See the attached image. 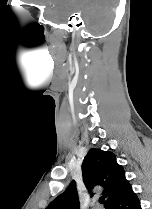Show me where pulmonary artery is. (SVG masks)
<instances>
[{"instance_id":"pulmonary-artery-1","label":"pulmonary artery","mask_w":152,"mask_h":209,"mask_svg":"<svg viewBox=\"0 0 152 209\" xmlns=\"http://www.w3.org/2000/svg\"><path fill=\"white\" fill-rule=\"evenodd\" d=\"M94 209H99L98 207H95Z\"/></svg>"}]
</instances>
